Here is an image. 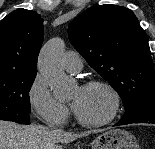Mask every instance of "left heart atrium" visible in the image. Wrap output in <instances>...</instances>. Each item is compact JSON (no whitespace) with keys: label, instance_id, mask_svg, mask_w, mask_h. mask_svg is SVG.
<instances>
[{"label":"left heart atrium","instance_id":"left-heart-atrium-1","mask_svg":"<svg viewBox=\"0 0 155 149\" xmlns=\"http://www.w3.org/2000/svg\"><path fill=\"white\" fill-rule=\"evenodd\" d=\"M73 108L74 110H76V103H73Z\"/></svg>","mask_w":155,"mask_h":149}]
</instances>
